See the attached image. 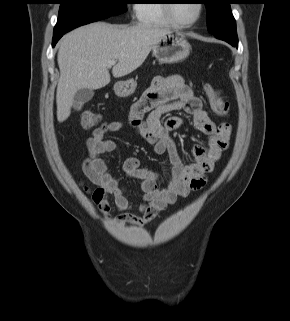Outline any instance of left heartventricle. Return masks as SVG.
<instances>
[{
	"label": "left heart ventricle",
	"mask_w": 290,
	"mask_h": 321,
	"mask_svg": "<svg viewBox=\"0 0 290 321\" xmlns=\"http://www.w3.org/2000/svg\"><path fill=\"white\" fill-rule=\"evenodd\" d=\"M197 3L193 0H181L174 3L173 14L181 22H190L197 15Z\"/></svg>",
	"instance_id": "obj_1"
}]
</instances>
